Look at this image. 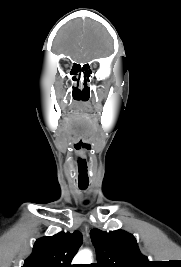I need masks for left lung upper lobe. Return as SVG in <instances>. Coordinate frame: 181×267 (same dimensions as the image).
<instances>
[{"label":"left lung upper lobe","instance_id":"left-lung-upper-lobe-1","mask_svg":"<svg viewBox=\"0 0 181 267\" xmlns=\"http://www.w3.org/2000/svg\"><path fill=\"white\" fill-rule=\"evenodd\" d=\"M96 249L97 264L94 267H150L151 262L139 251L135 237L123 230L99 229L90 231Z\"/></svg>","mask_w":181,"mask_h":267}]
</instances>
